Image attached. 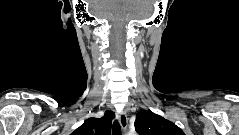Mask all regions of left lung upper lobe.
<instances>
[{"mask_svg":"<svg viewBox=\"0 0 239 135\" xmlns=\"http://www.w3.org/2000/svg\"><path fill=\"white\" fill-rule=\"evenodd\" d=\"M134 125L139 135H185L174 123L152 112L138 113Z\"/></svg>","mask_w":239,"mask_h":135,"instance_id":"1","label":"left lung upper lobe"}]
</instances>
